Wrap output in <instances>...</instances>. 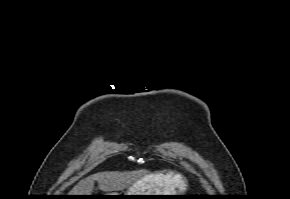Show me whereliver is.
<instances>
[{
	"label": "liver",
	"mask_w": 290,
	"mask_h": 199,
	"mask_svg": "<svg viewBox=\"0 0 290 199\" xmlns=\"http://www.w3.org/2000/svg\"><path fill=\"white\" fill-rule=\"evenodd\" d=\"M153 176V175H150ZM161 179L166 180V184L171 186H181L182 178L179 174L174 175L170 173L168 175L159 174ZM138 175L133 172H100L84 178L76 184L69 192V195H91L94 182H98L99 189L105 192L120 191L131 185L138 179Z\"/></svg>",
	"instance_id": "liver-1"
}]
</instances>
